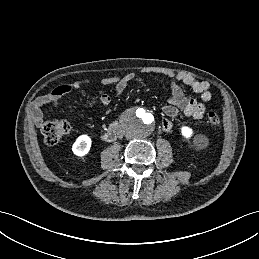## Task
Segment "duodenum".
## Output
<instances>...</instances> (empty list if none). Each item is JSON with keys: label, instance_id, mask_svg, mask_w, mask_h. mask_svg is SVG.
Masks as SVG:
<instances>
[{"label": "duodenum", "instance_id": "duodenum-1", "mask_svg": "<svg viewBox=\"0 0 259 259\" xmlns=\"http://www.w3.org/2000/svg\"><path fill=\"white\" fill-rule=\"evenodd\" d=\"M120 133V129L116 123H112L109 129L103 134L102 138L105 141H114L118 134Z\"/></svg>", "mask_w": 259, "mask_h": 259}]
</instances>
